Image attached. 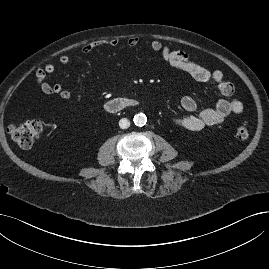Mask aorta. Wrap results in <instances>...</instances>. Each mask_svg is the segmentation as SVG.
I'll use <instances>...</instances> for the list:
<instances>
[{
  "label": "aorta",
  "mask_w": 269,
  "mask_h": 269,
  "mask_svg": "<svg viewBox=\"0 0 269 269\" xmlns=\"http://www.w3.org/2000/svg\"><path fill=\"white\" fill-rule=\"evenodd\" d=\"M133 121H134V124L136 125V126H144L145 124H146V122H147V117H146V115L145 114H143V113H139V114H136L135 116H134V119H133Z\"/></svg>",
  "instance_id": "762f6f07"
}]
</instances>
